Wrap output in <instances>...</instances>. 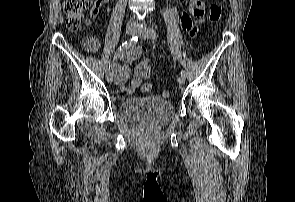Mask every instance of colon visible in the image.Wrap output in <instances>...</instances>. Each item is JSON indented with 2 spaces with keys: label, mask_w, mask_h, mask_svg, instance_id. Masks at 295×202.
<instances>
[{
  "label": "colon",
  "mask_w": 295,
  "mask_h": 202,
  "mask_svg": "<svg viewBox=\"0 0 295 202\" xmlns=\"http://www.w3.org/2000/svg\"><path fill=\"white\" fill-rule=\"evenodd\" d=\"M225 0H215L209 10V19L212 23H218L222 17V10ZM87 7V0H65L63 4V10L66 14V25L70 31H78L81 27L84 11ZM142 61L136 66V75L151 74L152 64L151 56H142ZM142 91L153 90L151 82H146L141 87ZM170 92L163 90L161 96L168 98Z\"/></svg>",
  "instance_id": "5ec220e1"
}]
</instances>
